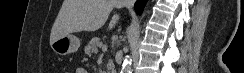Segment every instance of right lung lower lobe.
<instances>
[{"label": "right lung lower lobe", "mask_w": 244, "mask_h": 73, "mask_svg": "<svg viewBox=\"0 0 244 73\" xmlns=\"http://www.w3.org/2000/svg\"><path fill=\"white\" fill-rule=\"evenodd\" d=\"M147 2V0H137L135 3V10L138 14H141L143 11V8L145 6V3Z\"/></svg>", "instance_id": "1"}]
</instances>
